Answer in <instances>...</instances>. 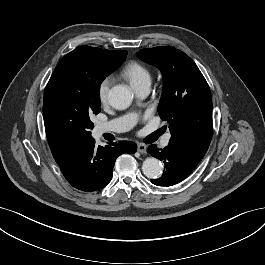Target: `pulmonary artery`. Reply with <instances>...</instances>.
Here are the masks:
<instances>
[{
  "label": "pulmonary artery",
  "mask_w": 265,
  "mask_h": 265,
  "mask_svg": "<svg viewBox=\"0 0 265 265\" xmlns=\"http://www.w3.org/2000/svg\"><path fill=\"white\" fill-rule=\"evenodd\" d=\"M136 94L140 98L146 97L150 92V84H145L140 87L134 89ZM137 121V115L134 113H130L119 118L110 120L105 123H100L96 126V133L101 135L103 133L114 132L120 133L130 130ZM169 143V136H166L163 141L162 145L167 146Z\"/></svg>",
  "instance_id": "pulmonary-artery-1"
}]
</instances>
